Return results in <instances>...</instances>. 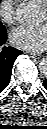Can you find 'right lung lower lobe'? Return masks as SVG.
<instances>
[{
    "mask_svg": "<svg viewBox=\"0 0 47 129\" xmlns=\"http://www.w3.org/2000/svg\"><path fill=\"white\" fill-rule=\"evenodd\" d=\"M6 39V32L0 34V45L5 43ZM20 54H22V51L13 47H4L0 52V92L8 85L13 63Z\"/></svg>",
    "mask_w": 47,
    "mask_h": 129,
    "instance_id": "right-lung-lower-lobe-1",
    "label": "right lung lower lobe"
}]
</instances>
